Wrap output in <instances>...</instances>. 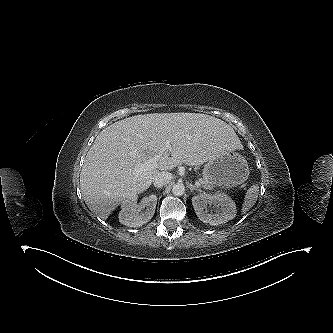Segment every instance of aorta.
I'll list each match as a JSON object with an SVG mask.
<instances>
[{"label": "aorta", "mask_w": 333, "mask_h": 333, "mask_svg": "<svg viewBox=\"0 0 333 333\" xmlns=\"http://www.w3.org/2000/svg\"><path fill=\"white\" fill-rule=\"evenodd\" d=\"M185 192V186L182 183H176L172 187V193L175 196H181Z\"/></svg>", "instance_id": "762f6f07"}]
</instances>
